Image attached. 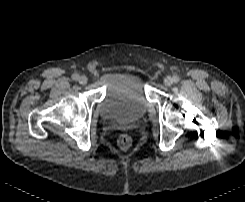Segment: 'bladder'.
Wrapping results in <instances>:
<instances>
[{
    "mask_svg": "<svg viewBox=\"0 0 245 202\" xmlns=\"http://www.w3.org/2000/svg\"><path fill=\"white\" fill-rule=\"evenodd\" d=\"M102 76L105 96L101 102V117L104 121L135 120L146 113L149 101L141 74L123 70Z\"/></svg>",
    "mask_w": 245,
    "mask_h": 202,
    "instance_id": "bladder-1",
    "label": "bladder"
}]
</instances>
